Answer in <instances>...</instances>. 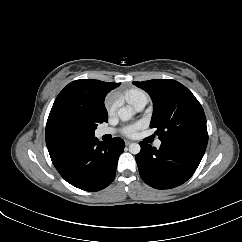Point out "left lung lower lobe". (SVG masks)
Instances as JSON below:
<instances>
[{"label":"left lung lower lobe","mask_w":242,"mask_h":242,"mask_svg":"<svg viewBox=\"0 0 242 242\" xmlns=\"http://www.w3.org/2000/svg\"><path fill=\"white\" fill-rule=\"evenodd\" d=\"M139 144L141 151L135 158L140 176L156 189H170L186 182L196 171L206 149L197 145L166 143L156 149L145 142Z\"/></svg>","instance_id":"obj_1"}]
</instances>
